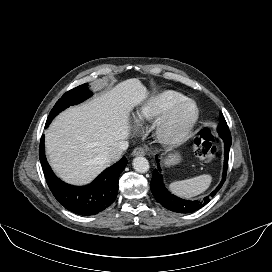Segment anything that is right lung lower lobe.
Returning <instances> with one entry per match:
<instances>
[{
    "label": "right lung lower lobe",
    "instance_id": "98d812e1",
    "mask_svg": "<svg viewBox=\"0 0 272 272\" xmlns=\"http://www.w3.org/2000/svg\"><path fill=\"white\" fill-rule=\"evenodd\" d=\"M39 157L47 184L54 197L67 210L84 216L97 214L114 202L118 192L119 175L127 165V159L123 157L104 170L90 185L76 187L61 181L51 170L45 156L44 136L40 142Z\"/></svg>",
    "mask_w": 272,
    "mask_h": 272
}]
</instances>
